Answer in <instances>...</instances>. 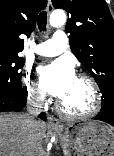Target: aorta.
I'll list each match as a JSON object with an SVG mask.
<instances>
[{
    "label": "aorta",
    "mask_w": 114,
    "mask_h": 156,
    "mask_svg": "<svg viewBox=\"0 0 114 156\" xmlns=\"http://www.w3.org/2000/svg\"><path fill=\"white\" fill-rule=\"evenodd\" d=\"M66 22V14L63 10H56L50 16V25L58 27Z\"/></svg>",
    "instance_id": "762f6f07"
}]
</instances>
